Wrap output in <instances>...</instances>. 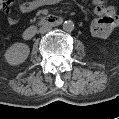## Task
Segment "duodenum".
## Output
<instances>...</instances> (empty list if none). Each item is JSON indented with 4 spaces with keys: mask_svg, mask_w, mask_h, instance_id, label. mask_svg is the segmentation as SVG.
<instances>
[{
    "mask_svg": "<svg viewBox=\"0 0 119 119\" xmlns=\"http://www.w3.org/2000/svg\"><path fill=\"white\" fill-rule=\"evenodd\" d=\"M62 22H63V18L57 15H50V16L43 17L37 23L32 24L28 28H26L22 33V37L25 40H29L36 35L39 28L56 27L60 25Z\"/></svg>",
    "mask_w": 119,
    "mask_h": 119,
    "instance_id": "1",
    "label": "duodenum"
}]
</instances>
